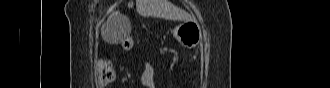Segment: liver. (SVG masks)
Returning a JSON list of instances; mask_svg holds the SVG:
<instances>
[{"label":"liver","instance_id":"1","mask_svg":"<svg viewBox=\"0 0 330 88\" xmlns=\"http://www.w3.org/2000/svg\"><path fill=\"white\" fill-rule=\"evenodd\" d=\"M136 9L142 16L163 17L173 20H191V17L187 13L177 10L168 0H136ZM108 41L114 42L111 39H108Z\"/></svg>","mask_w":330,"mask_h":88}]
</instances>
